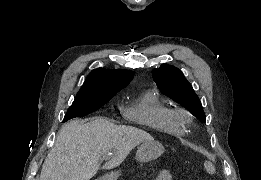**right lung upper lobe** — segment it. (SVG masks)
Segmentation results:
<instances>
[{
    "instance_id": "cb5924a9",
    "label": "right lung upper lobe",
    "mask_w": 261,
    "mask_h": 180,
    "mask_svg": "<svg viewBox=\"0 0 261 180\" xmlns=\"http://www.w3.org/2000/svg\"><path fill=\"white\" fill-rule=\"evenodd\" d=\"M133 72L128 70H93L77 94L91 96H111L127 86L133 79Z\"/></svg>"
}]
</instances>
